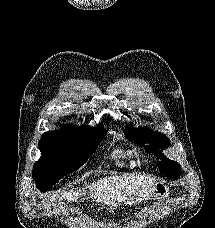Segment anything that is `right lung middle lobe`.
Masks as SVG:
<instances>
[{"mask_svg":"<svg viewBox=\"0 0 215 228\" xmlns=\"http://www.w3.org/2000/svg\"><path fill=\"white\" fill-rule=\"evenodd\" d=\"M106 130L97 128H71L42 135L39 149L42 158L33 169V177L41 192L51 189L63 176L79 169L95 152Z\"/></svg>","mask_w":215,"mask_h":228,"instance_id":"1","label":"right lung middle lobe"}]
</instances>
